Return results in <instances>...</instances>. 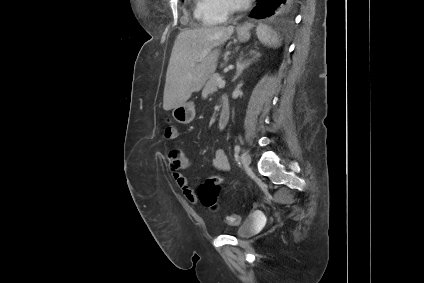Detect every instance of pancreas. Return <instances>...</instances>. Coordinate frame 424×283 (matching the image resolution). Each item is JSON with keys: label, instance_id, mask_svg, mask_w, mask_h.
Returning a JSON list of instances; mask_svg holds the SVG:
<instances>
[{"label": "pancreas", "instance_id": "1", "mask_svg": "<svg viewBox=\"0 0 424 283\" xmlns=\"http://www.w3.org/2000/svg\"><path fill=\"white\" fill-rule=\"evenodd\" d=\"M220 79V75L219 74H214L212 75L209 80L207 81L205 87L203 88L202 91V96L203 98H207V96L209 94H213L214 92L217 91V86H218V80Z\"/></svg>", "mask_w": 424, "mask_h": 283}]
</instances>
